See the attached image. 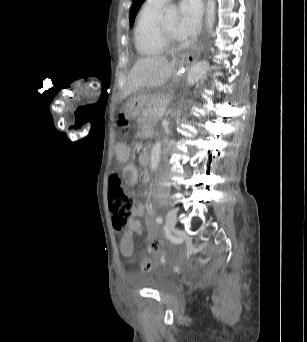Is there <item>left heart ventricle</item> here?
<instances>
[{
    "mask_svg": "<svg viewBox=\"0 0 307 342\" xmlns=\"http://www.w3.org/2000/svg\"><path fill=\"white\" fill-rule=\"evenodd\" d=\"M162 30H163V35L172 48H180L182 44L177 40L175 36V28H176V23L173 22H166V23H161Z\"/></svg>",
    "mask_w": 307,
    "mask_h": 342,
    "instance_id": "1",
    "label": "left heart ventricle"
}]
</instances>
